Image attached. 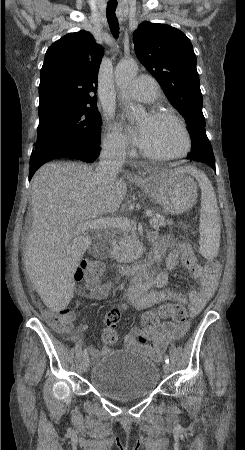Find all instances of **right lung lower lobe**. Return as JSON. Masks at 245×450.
<instances>
[{
	"label": "right lung lower lobe",
	"mask_w": 245,
	"mask_h": 450,
	"mask_svg": "<svg viewBox=\"0 0 245 450\" xmlns=\"http://www.w3.org/2000/svg\"><path fill=\"white\" fill-rule=\"evenodd\" d=\"M100 151V147L89 148V149H70L64 150L54 153H40L36 156H31L30 158V169H29V181L31 180L35 171L45 162L62 157H70L76 158L82 161L91 162L94 161L98 153Z\"/></svg>",
	"instance_id": "1"
}]
</instances>
